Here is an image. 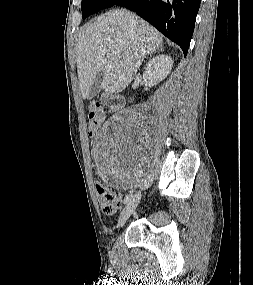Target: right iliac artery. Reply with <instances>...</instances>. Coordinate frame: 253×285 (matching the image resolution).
Returning <instances> with one entry per match:
<instances>
[{
  "mask_svg": "<svg viewBox=\"0 0 253 285\" xmlns=\"http://www.w3.org/2000/svg\"><path fill=\"white\" fill-rule=\"evenodd\" d=\"M131 196H132L131 194L126 195V197H125V199H124V203H125V204L130 201Z\"/></svg>",
  "mask_w": 253,
  "mask_h": 285,
  "instance_id": "1",
  "label": "right iliac artery"
}]
</instances>
